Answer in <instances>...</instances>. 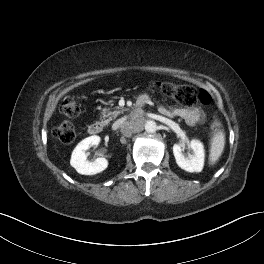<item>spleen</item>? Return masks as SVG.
Here are the masks:
<instances>
[{
  "mask_svg": "<svg viewBox=\"0 0 264 264\" xmlns=\"http://www.w3.org/2000/svg\"><path fill=\"white\" fill-rule=\"evenodd\" d=\"M225 146V133L224 131L220 130L214 134L211 139V146H210V155L209 161L210 164H215L219 158L221 157Z\"/></svg>",
  "mask_w": 264,
  "mask_h": 264,
  "instance_id": "3e777b00",
  "label": "spleen"
}]
</instances>
